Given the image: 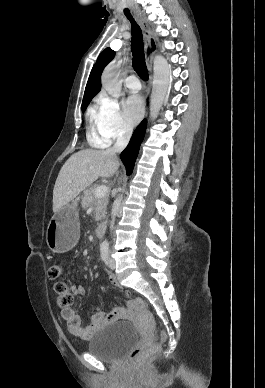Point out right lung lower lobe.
Returning <instances> with one entry per match:
<instances>
[{"label": "right lung lower lobe", "mask_w": 265, "mask_h": 388, "mask_svg": "<svg viewBox=\"0 0 265 388\" xmlns=\"http://www.w3.org/2000/svg\"><path fill=\"white\" fill-rule=\"evenodd\" d=\"M147 122L143 120L134 131L128 146L121 153V160L126 167L127 175L133 171L136 157L139 152L140 144L142 143L146 131Z\"/></svg>", "instance_id": "1"}]
</instances>
